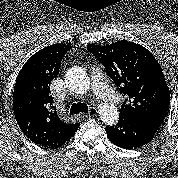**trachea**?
Masks as SVG:
<instances>
[{
  "label": "trachea",
  "mask_w": 178,
  "mask_h": 178,
  "mask_svg": "<svg viewBox=\"0 0 178 178\" xmlns=\"http://www.w3.org/2000/svg\"><path fill=\"white\" fill-rule=\"evenodd\" d=\"M88 106L85 103H74L70 108V114L88 113Z\"/></svg>",
  "instance_id": "obj_1"
}]
</instances>
